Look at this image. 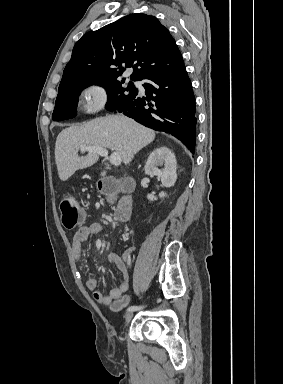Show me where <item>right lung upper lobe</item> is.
I'll use <instances>...</instances> for the list:
<instances>
[{"instance_id":"right-lung-upper-lobe-1","label":"right lung upper lobe","mask_w":283,"mask_h":384,"mask_svg":"<svg viewBox=\"0 0 283 384\" xmlns=\"http://www.w3.org/2000/svg\"><path fill=\"white\" fill-rule=\"evenodd\" d=\"M183 65L174 38L156 17L131 14L77 41L59 87L117 79L130 67L131 80H147Z\"/></svg>"}]
</instances>
